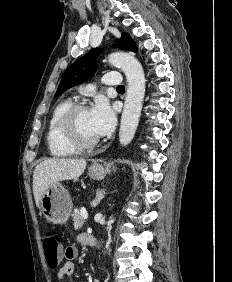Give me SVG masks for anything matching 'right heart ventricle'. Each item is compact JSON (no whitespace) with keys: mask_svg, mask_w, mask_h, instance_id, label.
I'll list each match as a JSON object with an SVG mask.
<instances>
[{"mask_svg":"<svg viewBox=\"0 0 232 282\" xmlns=\"http://www.w3.org/2000/svg\"><path fill=\"white\" fill-rule=\"evenodd\" d=\"M73 105V101L65 99L60 101L53 109L48 121L46 144L53 157H68L74 155L77 149L70 145L61 132V120L65 111Z\"/></svg>","mask_w":232,"mask_h":282,"instance_id":"e07e8e85","label":"right heart ventricle"}]
</instances>
